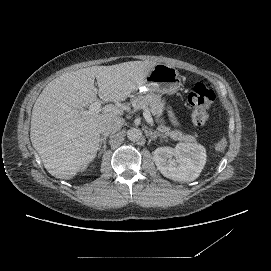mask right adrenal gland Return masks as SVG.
<instances>
[{
	"mask_svg": "<svg viewBox=\"0 0 271 271\" xmlns=\"http://www.w3.org/2000/svg\"><path fill=\"white\" fill-rule=\"evenodd\" d=\"M106 140H107V135H105L104 137H101L99 153H101V152H102V154L105 153V151H106Z\"/></svg>",
	"mask_w": 271,
	"mask_h": 271,
	"instance_id": "right-adrenal-gland-1",
	"label": "right adrenal gland"
}]
</instances>
